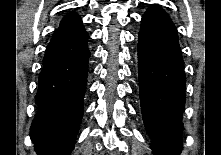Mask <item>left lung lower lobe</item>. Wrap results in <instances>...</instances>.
<instances>
[{
    "label": "left lung lower lobe",
    "instance_id": "1",
    "mask_svg": "<svg viewBox=\"0 0 221 155\" xmlns=\"http://www.w3.org/2000/svg\"><path fill=\"white\" fill-rule=\"evenodd\" d=\"M138 39L141 111L151 148L155 155H180L184 63L176 27L159 5L143 15Z\"/></svg>",
    "mask_w": 221,
    "mask_h": 155
}]
</instances>
